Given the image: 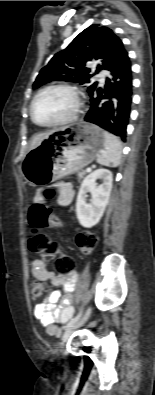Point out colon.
<instances>
[{
	"instance_id": "5ec220e1",
	"label": "colon",
	"mask_w": 155,
	"mask_h": 395,
	"mask_svg": "<svg viewBox=\"0 0 155 395\" xmlns=\"http://www.w3.org/2000/svg\"><path fill=\"white\" fill-rule=\"evenodd\" d=\"M54 196V190L47 188L43 191L45 199H51ZM49 209L43 204L33 205L28 214L29 224L33 232L28 240V248L31 252L42 253L46 256H57L59 264V275H68L69 272H75V263L70 258L67 250H59L57 242L52 241L40 229L45 227L49 221ZM75 242L82 252H89L96 243V236L92 232L79 233ZM44 285L41 282L33 281L30 284V292L33 298H39L44 293Z\"/></svg>"
}]
</instances>
